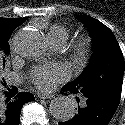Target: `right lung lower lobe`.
Returning a JSON list of instances; mask_svg holds the SVG:
<instances>
[{
  "instance_id": "98d812e1",
  "label": "right lung lower lobe",
  "mask_w": 125,
  "mask_h": 125,
  "mask_svg": "<svg viewBox=\"0 0 125 125\" xmlns=\"http://www.w3.org/2000/svg\"><path fill=\"white\" fill-rule=\"evenodd\" d=\"M35 98L29 92H18L16 87L8 89L5 97H0V125H19L22 106Z\"/></svg>"
}]
</instances>
